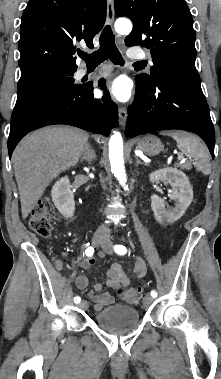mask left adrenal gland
Here are the masks:
<instances>
[{
    "label": "left adrenal gland",
    "instance_id": "1",
    "mask_svg": "<svg viewBox=\"0 0 221 379\" xmlns=\"http://www.w3.org/2000/svg\"><path fill=\"white\" fill-rule=\"evenodd\" d=\"M135 158H136V166H138L139 164H145V163L141 162L138 157H135Z\"/></svg>",
    "mask_w": 221,
    "mask_h": 379
}]
</instances>
